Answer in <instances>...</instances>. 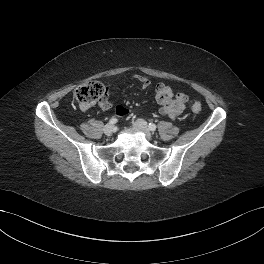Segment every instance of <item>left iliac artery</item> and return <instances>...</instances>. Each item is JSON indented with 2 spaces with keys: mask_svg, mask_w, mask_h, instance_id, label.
<instances>
[{
  "mask_svg": "<svg viewBox=\"0 0 264 264\" xmlns=\"http://www.w3.org/2000/svg\"><path fill=\"white\" fill-rule=\"evenodd\" d=\"M149 129L151 130V131H155L156 130V125L154 124V123H149Z\"/></svg>",
  "mask_w": 264,
  "mask_h": 264,
  "instance_id": "obj_1",
  "label": "left iliac artery"
}]
</instances>
